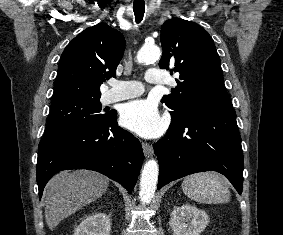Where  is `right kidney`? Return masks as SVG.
Segmentation results:
<instances>
[{"instance_id": "ca27d5eb", "label": "right kidney", "mask_w": 283, "mask_h": 235, "mask_svg": "<svg viewBox=\"0 0 283 235\" xmlns=\"http://www.w3.org/2000/svg\"><path fill=\"white\" fill-rule=\"evenodd\" d=\"M111 220L105 213L98 212L86 216L75 228L73 235H110Z\"/></svg>"}]
</instances>
